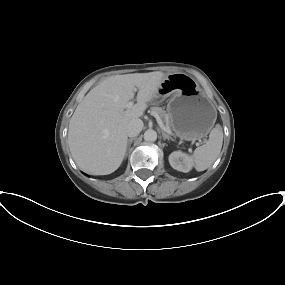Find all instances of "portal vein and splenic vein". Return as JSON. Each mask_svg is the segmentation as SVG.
<instances>
[{"instance_id": "18ae733b", "label": "portal vein and splenic vein", "mask_w": 285, "mask_h": 285, "mask_svg": "<svg viewBox=\"0 0 285 285\" xmlns=\"http://www.w3.org/2000/svg\"><path fill=\"white\" fill-rule=\"evenodd\" d=\"M134 90H136V88H135ZM132 106H133V102H132V101H130V102H128V103L126 104V108H131ZM152 115L155 117L157 123L159 124V126H160L164 131H166V132L169 133V134H172L170 128H168L167 126L164 125V123H163L161 117H160L156 112H152Z\"/></svg>"}]
</instances>
